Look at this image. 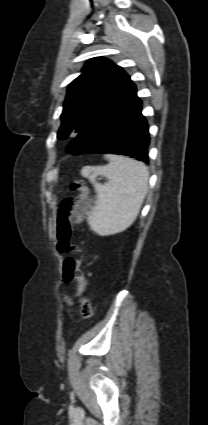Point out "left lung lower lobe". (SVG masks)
<instances>
[{"label":"left lung lower lobe","mask_w":208,"mask_h":425,"mask_svg":"<svg viewBox=\"0 0 208 425\" xmlns=\"http://www.w3.org/2000/svg\"><path fill=\"white\" fill-rule=\"evenodd\" d=\"M131 83L78 133L80 154L112 153L148 162V124Z\"/></svg>","instance_id":"0a47b994"}]
</instances>
